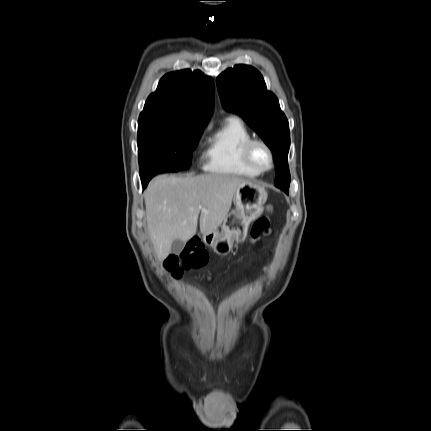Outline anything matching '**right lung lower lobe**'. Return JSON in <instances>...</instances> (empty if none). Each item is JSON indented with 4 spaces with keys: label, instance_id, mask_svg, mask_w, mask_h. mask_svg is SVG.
<instances>
[{
    "label": "right lung lower lobe",
    "instance_id": "1",
    "mask_svg": "<svg viewBox=\"0 0 431 431\" xmlns=\"http://www.w3.org/2000/svg\"><path fill=\"white\" fill-rule=\"evenodd\" d=\"M153 176H148V177H141V180H142V184H143V188H145L146 186H147V184H148V182L150 181V179L152 178Z\"/></svg>",
    "mask_w": 431,
    "mask_h": 431
}]
</instances>
